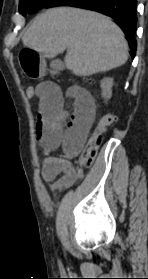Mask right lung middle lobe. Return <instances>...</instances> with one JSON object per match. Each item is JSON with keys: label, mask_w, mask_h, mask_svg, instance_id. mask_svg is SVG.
Here are the masks:
<instances>
[{"label": "right lung middle lobe", "mask_w": 148, "mask_h": 279, "mask_svg": "<svg viewBox=\"0 0 148 279\" xmlns=\"http://www.w3.org/2000/svg\"><path fill=\"white\" fill-rule=\"evenodd\" d=\"M50 0H21L19 4L20 13L25 16L27 13H35L43 8Z\"/></svg>", "instance_id": "dd1d6c3e"}]
</instances>
